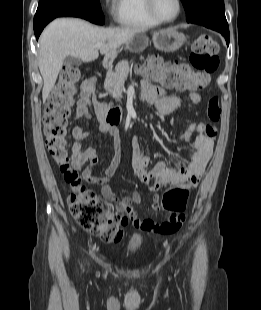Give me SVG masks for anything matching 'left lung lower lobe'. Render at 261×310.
Returning a JSON list of instances; mask_svg holds the SVG:
<instances>
[{
  "label": "left lung lower lobe",
  "mask_w": 261,
  "mask_h": 310,
  "mask_svg": "<svg viewBox=\"0 0 261 310\" xmlns=\"http://www.w3.org/2000/svg\"><path fill=\"white\" fill-rule=\"evenodd\" d=\"M197 24L203 25V26H205L207 28L213 29V30L221 33L224 36L227 45H229V28H228V24H219V23H214V22H211V21H203V22L197 23Z\"/></svg>",
  "instance_id": "1"
}]
</instances>
